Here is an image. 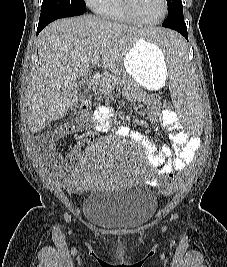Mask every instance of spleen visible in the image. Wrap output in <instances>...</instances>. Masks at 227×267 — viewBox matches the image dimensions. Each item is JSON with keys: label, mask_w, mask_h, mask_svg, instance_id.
Returning a JSON list of instances; mask_svg holds the SVG:
<instances>
[{"label": "spleen", "mask_w": 227, "mask_h": 267, "mask_svg": "<svg viewBox=\"0 0 227 267\" xmlns=\"http://www.w3.org/2000/svg\"><path fill=\"white\" fill-rule=\"evenodd\" d=\"M142 29L155 30V33L145 36V41L158 43L163 55H166V63H171L168 82L173 102L179 108L176 115H202V106H194L200 105V100L197 87L189 75L190 63H186L188 50L180 33H174V29H163V25H143ZM180 125L191 137L203 134L202 116H180Z\"/></svg>", "instance_id": "spleen-1"}]
</instances>
